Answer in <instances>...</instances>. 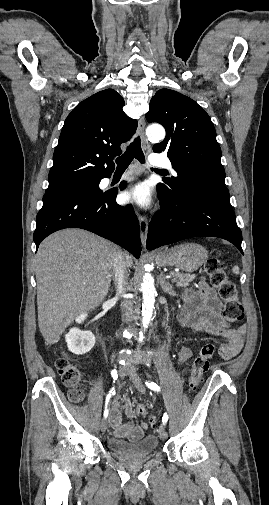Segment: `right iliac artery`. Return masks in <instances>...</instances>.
Listing matches in <instances>:
<instances>
[{"label":"right iliac artery","mask_w":269,"mask_h":505,"mask_svg":"<svg viewBox=\"0 0 269 505\" xmlns=\"http://www.w3.org/2000/svg\"><path fill=\"white\" fill-rule=\"evenodd\" d=\"M111 376L113 377L114 380H116L118 378V374H117V370L116 369H113L111 371ZM115 394V391L114 389H112L109 394L107 395L106 397V401H105V410H104V418H107L108 417V413H109V410H108V404H109V401H110V398L112 395Z\"/></svg>","instance_id":"right-iliac-artery-1"}]
</instances>
